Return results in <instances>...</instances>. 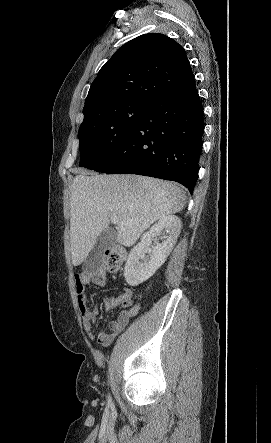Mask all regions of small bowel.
I'll return each mask as SVG.
<instances>
[{
  "label": "small bowel",
  "instance_id": "c3829d8e",
  "mask_svg": "<svg viewBox=\"0 0 271 443\" xmlns=\"http://www.w3.org/2000/svg\"><path fill=\"white\" fill-rule=\"evenodd\" d=\"M75 291L77 297L78 308L82 317L83 327L92 340H95L99 345L108 346L115 339L122 329L129 323L130 319L136 316L140 310L138 304H133V292L130 288L124 287L118 297H106L103 300L104 307L107 310L114 309L118 306L122 308L119 316L112 320L109 324L112 334H107L100 331L96 337L93 336L92 331L97 322L98 309L97 307L89 308L87 305L85 287L89 284H94L103 287L106 284V272L103 269H93L84 272H76L74 275Z\"/></svg>",
  "mask_w": 271,
  "mask_h": 443
}]
</instances>
